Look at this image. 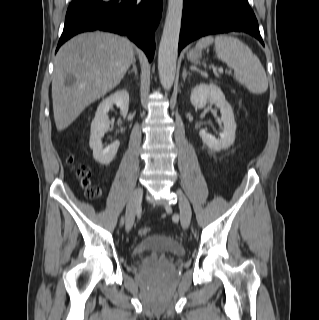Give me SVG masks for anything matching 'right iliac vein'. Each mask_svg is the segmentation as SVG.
<instances>
[{"mask_svg": "<svg viewBox=\"0 0 319 320\" xmlns=\"http://www.w3.org/2000/svg\"><path fill=\"white\" fill-rule=\"evenodd\" d=\"M143 196V189L141 187L136 188L127 204L126 208V230L130 231L133 227L135 221V214L140 206L141 200Z\"/></svg>", "mask_w": 319, "mask_h": 320, "instance_id": "obj_1", "label": "right iliac vein"}]
</instances>
